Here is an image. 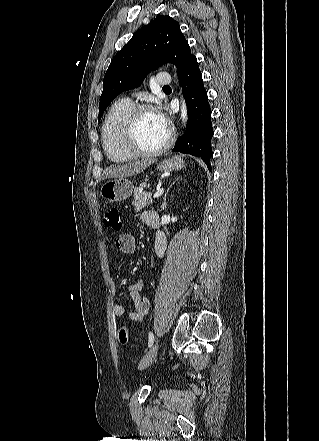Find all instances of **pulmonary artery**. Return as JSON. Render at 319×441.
Returning a JSON list of instances; mask_svg holds the SVG:
<instances>
[{"label": "pulmonary artery", "mask_w": 319, "mask_h": 441, "mask_svg": "<svg viewBox=\"0 0 319 441\" xmlns=\"http://www.w3.org/2000/svg\"><path fill=\"white\" fill-rule=\"evenodd\" d=\"M155 82L158 86H168L171 83V77L168 73L163 72L157 75Z\"/></svg>", "instance_id": "pulmonary-artery-1"}]
</instances>
